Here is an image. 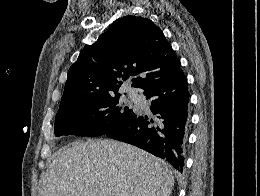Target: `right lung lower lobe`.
I'll list each match as a JSON object with an SVG mask.
<instances>
[{"label":"right lung lower lobe","instance_id":"right-lung-lower-lobe-1","mask_svg":"<svg viewBox=\"0 0 260 196\" xmlns=\"http://www.w3.org/2000/svg\"><path fill=\"white\" fill-rule=\"evenodd\" d=\"M143 90L154 116L138 114L105 135L142 148L182 172L189 125L187 78L180 69L173 78Z\"/></svg>","mask_w":260,"mask_h":196}]
</instances>
